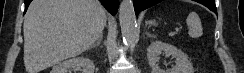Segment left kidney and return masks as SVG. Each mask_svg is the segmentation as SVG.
I'll return each instance as SVG.
<instances>
[{
	"label": "left kidney",
	"mask_w": 244,
	"mask_h": 73,
	"mask_svg": "<svg viewBox=\"0 0 244 73\" xmlns=\"http://www.w3.org/2000/svg\"><path fill=\"white\" fill-rule=\"evenodd\" d=\"M162 53L175 58L176 65L168 73H194L192 63L187 55L175 46L162 41H154L147 48V58L152 73H166L158 66L159 55Z\"/></svg>",
	"instance_id": "obj_1"
}]
</instances>
